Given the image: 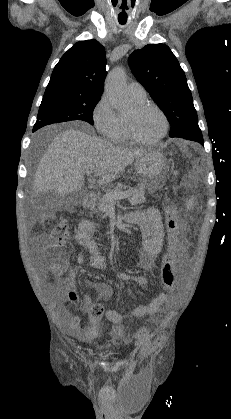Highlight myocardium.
<instances>
[{"label": "myocardium", "mask_w": 231, "mask_h": 419, "mask_svg": "<svg viewBox=\"0 0 231 419\" xmlns=\"http://www.w3.org/2000/svg\"><path fill=\"white\" fill-rule=\"evenodd\" d=\"M147 109H153L155 111H157L160 116L163 119L164 122V128L163 131L155 138L153 139H142L140 138L134 131L133 128V123H132V119L130 117L126 118V126H127V134L128 137L135 143L140 144V145H153L158 143L159 141H161L168 133L169 131V127H170V123H169V119L166 115V113L156 104L154 103H149V102H143L140 104H137L134 107V111L135 112H142L144 110Z\"/></svg>", "instance_id": "f54148a6"}]
</instances>
